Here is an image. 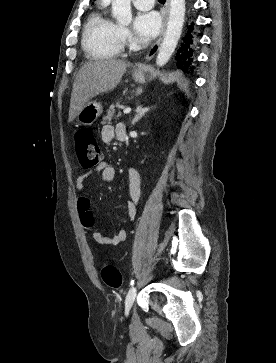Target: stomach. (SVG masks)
I'll return each mask as SVG.
<instances>
[{
  "mask_svg": "<svg viewBox=\"0 0 276 363\" xmlns=\"http://www.w3.org/2000/svg\"><path fill=\"white\" fill-rule=\"evenodd\" d=\"M133 79L137 83H145L146 75L142 72H134ZM102 114V106L96 101H88L77 115V120L86 126L92 125Z\"/></svg>",
  "mask_w": 276,
  "mask_h": 363,
  "instance_id": "obj_1",
  "label": "stomach"
}]
</instances>
